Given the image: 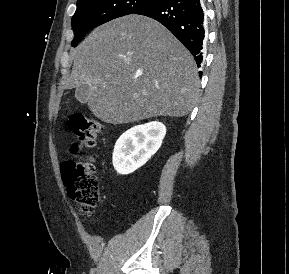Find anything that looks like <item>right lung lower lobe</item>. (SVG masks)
Segmentation results:
<instances>
[{"instance_id":"right-lung-lower-lobe-1","label":"right lung lower lobe","mask_w":289,"mask_h":274,"mask_svg":"<svg viewBox=\"0 0 289 274\" xmlns=\"http://www.w3.org/2000/svg\"><path fill=\"white\" fill-rule=\"evenodd\" d=\"M134 14L163 24L192 53L198 67L201 66L205 37L203 0H157Z\"/></svg>"}]
</instances>
